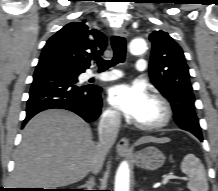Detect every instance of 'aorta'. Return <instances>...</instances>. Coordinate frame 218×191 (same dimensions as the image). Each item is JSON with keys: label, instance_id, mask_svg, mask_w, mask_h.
Listing matches in <instances>:
<instances>
[{"label": "aorta", "instance_id": "1", "mask_svg": "<svg viewBox=\"0 0 218 191\" xmlns=\"http://www.w3.org/2000/svg\"><path fill=\"white\" fill-rule=\"evenodd\" d=\"M146 49V41L142 38H135L129 44V51L133 55L142 54ZM129 174V165L124 161L117 169L114 191H129Z\"/></svg>", "mask_w": 218, "mask_h": 191}]
</instances>
